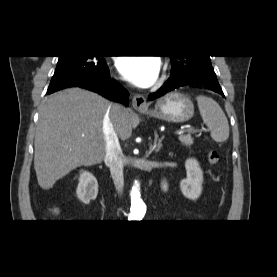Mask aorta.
<instances>
[{
	"mask_svg": "<svg viewBox=\"0 0 277 277\" xmlns=\"http://www.w3.org/2000/svg\"><path fill=\"white\" fill-rule=\"evenodd\" d=\"M131 196V208L129 218L132 220H141L146 213V205L141 199L140 186L137 181H135L134 186L130 192Z\"/></svg>",
	"mask_w": 277,
	"mask_h": 277,
	"instance_id": "aorta-1",
	"label": "aorta"
}]
</instances>
